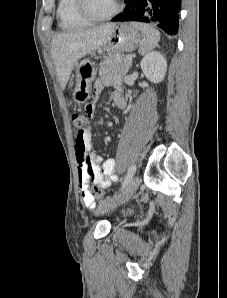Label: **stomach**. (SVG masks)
<instances>
[{"mask_svg":"<svg viewBox=\"0 0 227 298\" xmlns=\"http://www.w3.org/2000/svg\"><path fill=\"white\" fill-rule=\"evenodd\" d=\"M142 35L132 24L120 23L115 25L110 39L98 50L121 54L134 51L141 42ZM96 75L95 63L89 59H83L76 65V85L72 92L73 100L81 105L91 97V85Z\"/></svg>","mask_w":227,"mask_h":298,"instance_id":"obj_1","label":"stomach"}]
</instances>
